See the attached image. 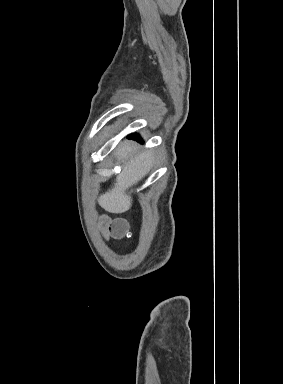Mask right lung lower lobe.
I'll use <instances>...</instances> for the list:
<instances>
[{
	"instance_id": "1",
	"label": "right lung lower lobe",
	"mask_w": 283,
	"mask_h": 384,
	"mask_svg": "<svg viewBox=\"0 0 283 384\" xmlns=\"http://www.w3.org/2000/svg\"><path fill=\"white\" fill-rule=\"evenodd\" d=\"M128 138H134V139L140 140L137 134H131L128 136Z\"/></svg>"
}]
</instances>
